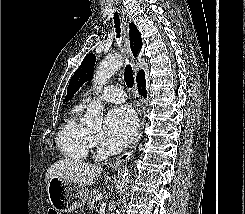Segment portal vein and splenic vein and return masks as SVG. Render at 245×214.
<instances>
[{
  "label": "portal vein and splenic vein",
  "mask_w": 245,
  "mask_h": 214,
  "mask_svg": "<svg viewBox=\"0 0 245 214\" xmlns=\"http://www.w3.org/2000/svg\"><path fill=\"white\" fill-rule=\"evenodd\" d=\"M97 198H98L99 200H101V199H102V194H99V195L97 196Z\"/></svg>",
  "instance_id": "18ae733b"
}]
</instances>
